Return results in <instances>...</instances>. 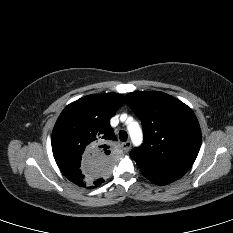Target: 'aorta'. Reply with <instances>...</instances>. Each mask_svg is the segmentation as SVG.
<instances>
[{
    "label": "aorta",
    "instance_id": "obj_1",
    "mask_svg": "<svg viewBox=\"0 0 233 233\" xmlns=\"http://www.w3.org/2000/svg\"><path fill=\"white\" fill-rule=\"evenodd\" d=\"M128 131L134 145L138 146L142 142V131L137 122L128 125Z\"/></svg>",
    "mask_w": 233,
    "mask_h": 233
}]
</instances>
